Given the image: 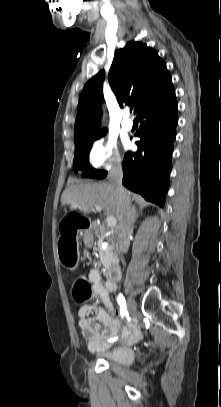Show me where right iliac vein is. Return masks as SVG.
<instances>
[{
	"mask_svg": "<svg viewBox=\"0 0 221 407\" xmlns=\"http://www.w3.org/2000/svg\"><path fill=\"white\" fill-rule=\"evenodd\" d=\"M127 308L130 314H133L136 310V302L131 297L127 299Z\"/></svg>",
	"mask_w": 221,
	"mask_h": 407,
	"instance_id": "63e3f726",
	"label": "right iliac vein"
}]
</instances>
